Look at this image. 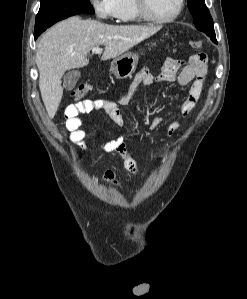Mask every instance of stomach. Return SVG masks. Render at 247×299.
<instances>
[{"mask_svg": "<svg viewBox=\"0 0 247 299\" xmlns=\"http://www.w3.org/2000/svg\"><path fill=\"white\" fill-rule=\"evenodd\" d=\"M151 45L155 46L156 43H151ZM138 61V53H125L112 61L110 71L118 79L130 78L136 71Z\"/></svg>", "mask_w": 247, "mask_h": 299, "instance_id": "1", "label": "stomach"}]
</instances>
